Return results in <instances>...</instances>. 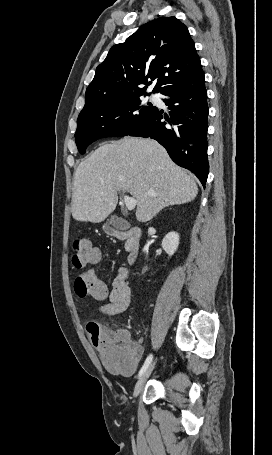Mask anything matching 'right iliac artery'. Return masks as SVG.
<instances>
[{
	"mask_svg": "<svg viewBox=\"0 0 272 455\" xmlns=\"http://www.w3.org/2000/svg\"><path fill=\"white\" fill-rule=\"evenodd\" d=\"M151 361H152V355L150 354V355L147 357V359L145 360V362H144L142 368H141L140 371H139V374H138L139 377L147 370V368L149 367Z\"/></svg>",
	"mask_w": 272,
	"mask_h": 455,
	"instance_id": "1",
	"label": "right iliac artery"
}]
</instances>
